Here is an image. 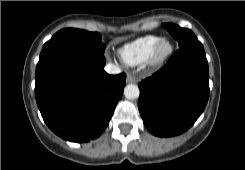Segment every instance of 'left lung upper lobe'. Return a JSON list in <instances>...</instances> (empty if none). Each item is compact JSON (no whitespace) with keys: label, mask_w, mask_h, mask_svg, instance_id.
<instances>
[{"label":"left lung upper lobe","mask_w":245,"mask_h":170,"mask_svg":"<svg viewBox=\"0 0 245 170\" xmlns=\"http://www.w3.org/2000/svg\"><path fill=\"white\" fill-rule=\"evenodd\" d=\"M162 27H164L173 36V38L178 41L180 48L204 51L203 45L191 30L181 28L173 23H164L162 24Z\"/></svg>","instance_id":"5c2ea615"}]
</instances>
